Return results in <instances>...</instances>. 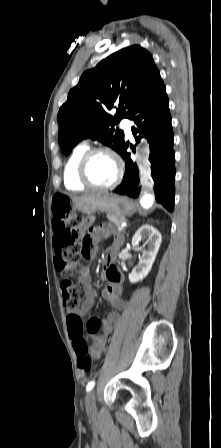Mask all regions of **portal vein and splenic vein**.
Segmentation results:
<instances>
[{
    "mask_svg": "<svg viewBox=\"0 0 221 448\" xmlns=\"http://www.w3.org/2000/svg\"><path fill=\"white\" fill-rule=\"evenodd\" d=\"M126 225H127L126 222L121 223L120 226L118 227V230H122Z\"/></svg>",
    "mask_w": 221,
    "mask_h": 448,
    "instance_id": "18ae733b",
    "label": "portal vein and splenic vein"
}]
</instances>
